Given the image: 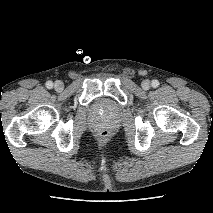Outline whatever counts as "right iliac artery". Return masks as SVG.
I'll return each instance as SVG.
<instances>
[{"mask_svg": "<svg viewBox=\"0 0 213 213\" xmlns=\"http://www.w3.org/2000/svg\"><path fill=\"white\" fill-rule=\"evenodd\" d=\"M46 87H47L48 89H51V88L53 87V82H52V81L46 82Z\"/></svg>", "mask_w": 213, "mask_h": 213, "instance_id": "obj_1", "label": "right iliac artery"}]
</instances>
